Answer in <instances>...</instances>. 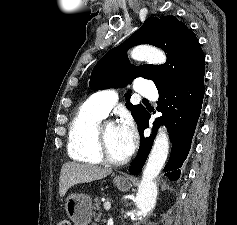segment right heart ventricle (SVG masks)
Instances as JSON below:
<instances>
[{
	"instance_id": "obj_1",
	"label": "right heart ventricle",
	"mask_w": 237,
	"mask_h": 225,
	"mask_svg": "<svg viewBox=\"0 0 237 225\" xmlns=\"http://www.w3.org/2000/svg\"><path fill=\"white\" fill-rule=\"evenodd\" d=\"M104 117L91 98L79 107L69 126L68 154L73 160L87 164L102 162L95 131Z\"/></svg>"
}]
</instances>
